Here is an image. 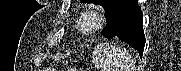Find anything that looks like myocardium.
Here are the masks:
<instances>
[{"mask_svg":"<svg viewBox=\"0 0 181 71\" xmlns=\"http://www.w3.org/2000/svg\"><path fill=\"white\" fill-rule=\"evenodd\" d=\"M104 24L103 15L96 10L85 11L77 22V29L81 34H92Z\"/></svg>","mask_w":181,"mask_h":71,"instance_id":"1","label":"myocardium"}]
</instances>
